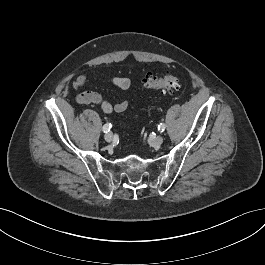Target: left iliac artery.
Wrapping results in <instances>:
<instances>
[{
    "instance_id": "44dca946",
    "label": "left iliac artery",
    "mask_w": 265,
    "mask_h": 265,
    "mask_svg": "<svg viewBox=\"0 0 265 265\" xmlns=\"http://www.w3.org/2000/svg\"><path fill=\"white\" fill-rule=\"evenodd\" d=\"M166 126L165 124L161 123L160 125H158V130L163 132L165 130Z\"/></svg>"
}]
</instances>
